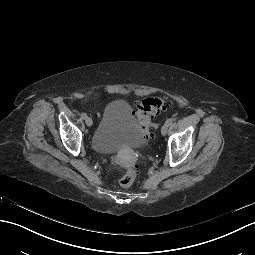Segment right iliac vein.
I'll use <instances>...</instances> for the list:
<instances>
[{"label":"right iliac vein","mask_w":255,"mask_h":255,"mask_svg":"<svg viewBox=\"0 0 255 255\" xmlns=\"http://www.w3.org/2000/svg\"><path fill=\"white\" fill-rule=\"evenodd\" d=\"M85 123H86V125H87L88 127H91L92 124H93V121H92V119H91L90 117H86Z\"/></svg>","instance_id":"obj_1"}]
</instances>
